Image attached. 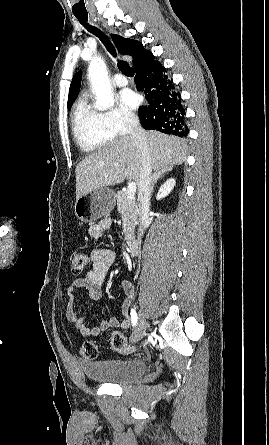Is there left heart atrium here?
Here are the masks:
<instances>
[{
  "label": "left heart atrium",
  "mask_w": 269,
  "mask_h": 445,
  "mask_svg": "<svg viewBox=\"0 0 269 445\" xmlns=\"http://www.w3.org/2000/svg\"><path fill=\"white\" fill-rule=\"evenodd\" d=\"M120 98L122 103L130 109L136 108L140 101L139 96L131 90H124Z\"/></svg>",
  "instance_id": "obj_1"
}]
</instances>
